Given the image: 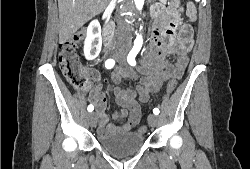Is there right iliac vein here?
<instances>
[{
  "label": "right iliac vein",
  "instance_id": "obj_1",
  "mask_svg": "<svg viewBox=\"0 0 250 169\" xmlns=\"http://www.w3.org/2000/svg\"><path fill=\"white\" fill-rule=\"evenodd\" d=\"M88 121H89V125H90L91 127H93V126L96 125L97 115H96L95 112L89 113V114H88Z\"/></svg>",
  "mask_w": 250,
  "mask_h": 169
}]
</instances>
